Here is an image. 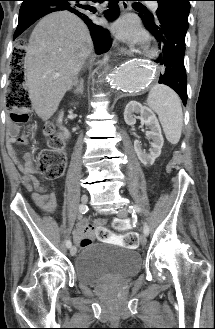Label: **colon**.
<instances>
[{
    "label": "colon",
    "instance_id": "1",
    "mask_svg": "<svg viewBox=\"0 0 215 329\" xmlns=\"http://www.w3.org/2000/svg\"><path fill=\"white\" fill-rule=\"evenodd\" d=\"M19 44H30V37H19ZM26 55L22 48H17L15 55H11L10 67L13 68L10 83L6 93V103L11 112V119L19 124H28L31 112V100L25 86V76L22 68L25 67ZM34 128L29 124V133L33 134ZM44 133L48 137V148L42 149L37 158L36 166L47 180H55L61 177L65 171L66 157L62 150V138L54 131L50 124L44 127ZM114 227L125 232L122 237V245L126 248L135 249L138 246V236L133 232H126L128 224L125 220L116 219ZM113 235V234H111ZM91 238L85 236L82 244H90Z\"/></svg>",
    "mask_w": 215,
    "mask_h": 329
}]
</instances>
